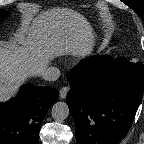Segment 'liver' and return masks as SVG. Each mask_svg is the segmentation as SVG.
<instances>
[{
    "label": "liver",
    "mask_w": 144,
    "mask_h": 144,
    "mask_svg": "<svg viewBox=\"0 0 144 144\" xmlns=\"http://www.w3.org/2000/svg\"><path fill=\"white\" fill-rule=\"evenodd\" d=\"M17 43H0V101L14 96L19 85L40 75L55 57H85L92 53L94 33L80 13L55 7L26 13L17 32Z\"/></svg>",
    "instance_id": "obj_1"
}]
</instances>
